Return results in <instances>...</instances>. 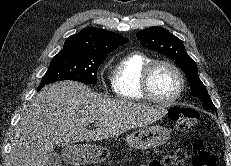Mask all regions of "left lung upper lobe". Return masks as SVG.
<instances>
[{"instance_id": "left-lung-upper-lobe-1", "label": "left lung upper lobe", "mask_w": 231, "mask_h": 166, "mask_svg": "<svg viewBox=\"0 0 231 166\" xmlns=\"http://www.w3.org/2000/svg\"><path fill=\"white\" fill-rule=\"evenodd\" d=\"M137 38L140 43L152 50L158 51L171 60H174L181 68L190 83L191 93L198 97L203 106L215 110L206 87L199 78L195 61L187 54L182 41L167 31L165 28L154 26L139 31Z\"/></svg>"}]
</instances>
